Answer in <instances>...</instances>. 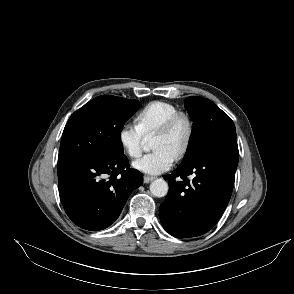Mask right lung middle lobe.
<instances>
[{
  "mask_svg": "<svg viewBox=\"0 0 294 294\" xmlns=\"http://www.w3.org/2000/svg\"><path fill=\"white\" fill-rule=\"evenodd\" d=\"M138 100L102 95L69 118L61 139L58 165L79 158L123 154L121 131L139 108Z\"/></svg>",
  "mask_w": 294,
  "mask_h": 294,
  "instance_id": "1",
  "label": "right lung middle lobe"
}]
</instances>
